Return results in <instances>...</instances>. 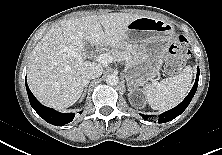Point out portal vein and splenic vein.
<instances>
[{"instance_id":"portal-vein-and-splenic-vein-1","label":"portal vein and splenic vein","mask_w":222,"mask_h":155,"mask_svg":"<svg viewBox=\"0 0 222 155\" xmlns=\"http://www.w3.org/2000/svg\"><path fill=\"white\" fill-rule=\"evenodd\" d=\"M96 61L102 63V64H109L114 61V58L110 54H100L96 57Z\"/></svg>"}]
</instances>
